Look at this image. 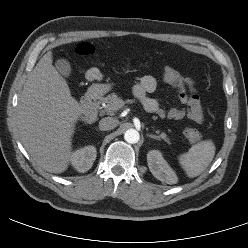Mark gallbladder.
Here are the masks:
<instances>
[{"mask_svg":"<svg viewBox=\"0 0 248 248\" xmlns=\"http://www.w3.org/2000/svg\"><path fill=\"white\" fill-rule=\"evenodd\" d=\"M55 67L57 71L65 77H68L71 73L70 63L66 59H58L55 62Z\"/></svg>","mask_w":248,"mask_h":248,"instance_id":"bac80fb5","label":"gallbladder"}]
</instances>
